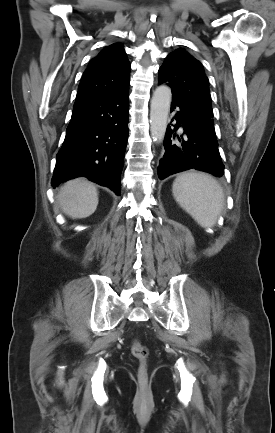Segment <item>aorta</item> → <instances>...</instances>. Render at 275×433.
<instances>
[{"mask_svg":"<svg viewBox=\"0 0 275 433\" xmlns=\"http://www.w3.org/2000/svg\"><path fill=\"white\" fill-rule=\"evenodd\" d=\"M172 93L168 85L156 88L151 99L150 132L152 138L160 143L165 136L170 111Z\"/></svg>","mask_w":275,"mask_h":433,"instance_id":"obj_1","label":"aorta"}]
</instances>
